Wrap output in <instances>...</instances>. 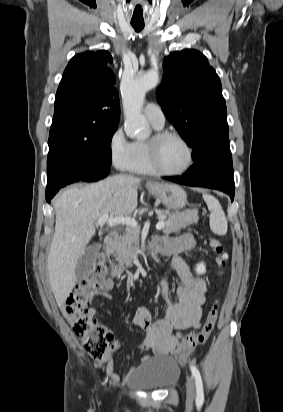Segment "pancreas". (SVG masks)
I'll return each mask as SVG.
<instances>
[{"mask_svg": "<svg viewBox=\"0 0 283 412\" xmlns=\"http://www.w3.org/2000/svg\"><path fill=\"white\" fill-rule=\"evenodd\" d=\"M197 210H185L169 214V219L165 222L163 232L165 234L176 233L182 228L198 222ZM140 230L137 227H128L122 237L117 240L114 248L116 261L121 265H131L133 256L139 251Z\"/></svg>", "mask_w": 283, "mask_h": 412, "instance_id": "pancreas-1", "label": "pancreas"}]
</instances>
